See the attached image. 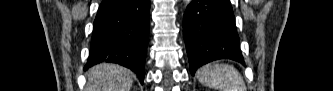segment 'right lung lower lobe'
Here are the masks:
<instances>
[{
    "label": "right lung lower lobe",
    "mask_w": 333,
    "mask_h": 91,
    "mask_svg": "<svg viewBox=\"0 0 333 91\" xmlns=\"http://www.w3.org/2000/svg\"><path fill=\"white\" fill-rule=\"evenodd\" d=\"M150 0H103L94 21L84 69L112 62L134 71L143 83Z\"/></svg>",
    "instance_id": "1"
}]
</instances>
